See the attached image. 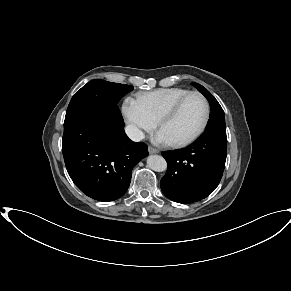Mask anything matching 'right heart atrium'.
<instances>
[{
    "instance_id": "1",
    "label": "right heart atrium",
    "mask_w": 291,
    "mask_h": 291,
    "mask_svg": "<svg viewBox=\"0 0 291 291\" xmlns=\"http://www.w3.org/2000/svg\"><path fill=\"white\" fill-rule=\"evenodd\" d=\"M122 112L130 135L136 140L141 139L145 132L152 131L156 127V122L150 118L137 99L127 97L123 103Z\"/></svg>"
}]
</instances>
